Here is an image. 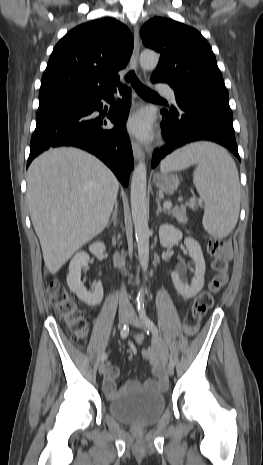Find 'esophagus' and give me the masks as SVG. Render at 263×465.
Returning a JSON list of instances; mask_svg holds the SVG:
<instances>
[{
    "instance_id": "1",
    "label": "esophagus",
    "mask_w": 263,
    "mask_h": 465,
    "mask_svg": "<svg viewBox=\"0 0 263 465\" xmlns=\"http://www.w3.org/2000/svg\"><path fill=\"white\" fill-rule=\"evenodd\" d=\"M139 52H140L139 29L138 27H135L134 28V48H133V53L131 57V65L134 69H137V66H138ZM132 150H133L134 159L136 161L144 159L143 150L141 146L139 145V143H137L135 140H132Z\"/></svg>"
}]
</instances>
